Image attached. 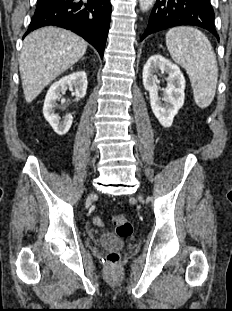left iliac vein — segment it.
Segmentation results:
<instances>
[{
	"instance_id": "left-iliac-vein-1",
	"label": "left iliac vein",
	"mask_w": 232,
	"mask_h": 311,
	"mask_svg": "<svg viewBox=\"0 0 232 311\" xmlns=\"http://www.w3.org/2000/svg\"><path fill=\"white\" fill-rule=\"evenodd\" d=\"M139 200L143 202V197L139 195Z\"/></svg>"
}]
</instances>
